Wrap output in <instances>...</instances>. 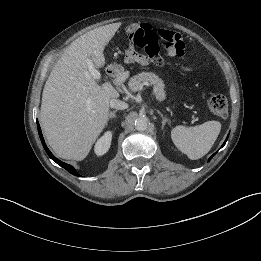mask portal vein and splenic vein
<instances>
[{"mask_svg":"<svg viewBox=\"0 0 261 261\" xmlns=\"http://www.w3.org/2000/svg\"><path fill=\"white\" fill-rule=\"evenodd\" d=\"M86 64L89 70V73L93 76L94 79L100 80L101 74L100 72L95 68L94 63L91 59H86Z\"/></svg>","mask_w":261,"mask_h":261,"instance_id":"1","label":"portal vein and splenic vein"}]
</instances>
